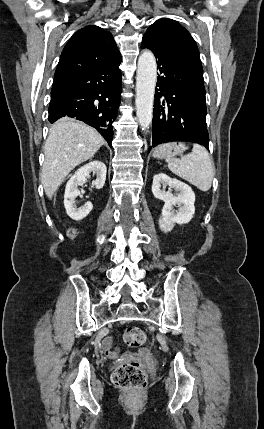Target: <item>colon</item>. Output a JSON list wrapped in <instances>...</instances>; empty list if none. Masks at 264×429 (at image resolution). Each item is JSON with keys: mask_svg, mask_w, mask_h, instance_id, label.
<instances>
[{"mask_svg": "<svg viewBox=\"0 0 264 429\" xmlns=\"http://www.w3.org/2000/svg\"><path fill=\"white\" fill-rule=\"evenodd\" d=\"M69 233L73 235L74 231L70 230ZM123 338L130 347H140L146 341L144 331L134 326L125 330ZM112 381L125 391L137 393L145 387L147 375L139 360L134 359L118 365L112 374Z\"/></svg>", "mask_w": 264, "mask_h": 429, "instance_id": "1", "label": "colon"}]
</instances>
